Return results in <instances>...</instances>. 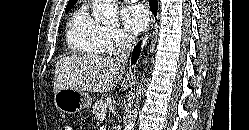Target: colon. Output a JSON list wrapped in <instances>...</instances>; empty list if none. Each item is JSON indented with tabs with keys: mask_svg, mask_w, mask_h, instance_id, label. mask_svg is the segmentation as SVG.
Listing matches in <instances>:
<instances>
[{
	"mask_svg": "<svg viewBox=\"0 0 249 130\" xmlns=\"http://www.w3.org/2000/svg\"><path fill=\"white\" fill-rule=\"evenodd\" d=\"M61 130H75V127L70 123H65L62 125Z\"/></svg>",
	"mask_w": 249,
	"mask_h": 130,
	"instance_id": "colon-1",
	"label": "colon"
}]
</instances>
